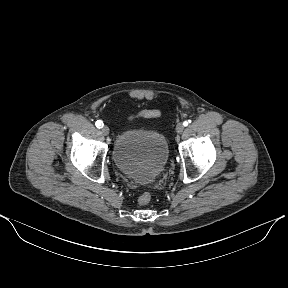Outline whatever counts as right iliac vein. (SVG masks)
<instances>
[{
	"label": "right iliac vein",
	"mask_w": 288,
	"mask_h": 288,
	"mask_svg": "<svg viewBox=\"0 0 288 288\" xmlns=\"http://www.w3.org/2000/svg\"><path fill=\"white\" fill-rule=\"evenodd\" d=\"M101 132H102L103 135L106 136V135L109 134L110 130H109V128L107 126H103L102 129H101Z\"/></svg>",
	"instance_id": "63e3f726"
}]
</instances>
